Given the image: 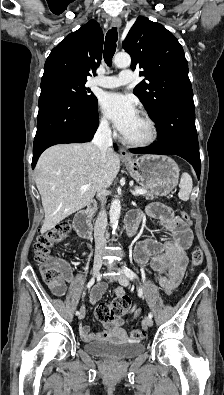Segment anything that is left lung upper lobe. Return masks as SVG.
<instances>
[{"mask_svg":"<svg viewBox=\"0 0 224 395\" xmlns=\"http://www.w3.org/2000/svg\"><path fill=\"white\" fill-rule=\"evenodd\" d=\"M123 48L132 58L131 68L144 71L134 94L145 106L150 118L178 102H193L188 63L176 37L163 25L138 17L127 34Z\"/></svg>","mask_w":224,"mask_h":395,"instance_id":"left-lung-upper-lobe-1","label":"left lung upper lobe"}]
</instances>
